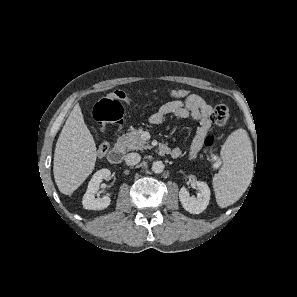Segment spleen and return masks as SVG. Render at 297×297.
I'll return each instance as SVG.
<instances>
[{"mask_svg": "<svg viewBox=\"0 0 297 297\" xmlns=\"http://www.w3.org/2000/svg\"><path fill=\"white\" fill-rule=\"evenodd\" d=\"M222 167L213 180L218 198L234 202L245 191L253 170V152L247 132L239 128L232 132L222 149Z\"/></svg>", "mask_w": 297, "mask_h": 297, "instance_id": "obj_1", "label": "spleen"}]
</instances>
